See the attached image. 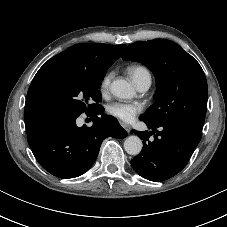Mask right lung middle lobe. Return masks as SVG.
Returning a JSON list of instances; mask_svg holds the SVG:
<instances>
[{
  "label": "right lung middle lobe",
  "instance_id": "obj_1",
  "mask_svg": "<svg viewBox=\"0 0 227 227\" xmlns=\"http://www.w3.org/2000/svg\"><path fill=\"white\" fill-rule=\"evenodd\" d=\"M106 70L57 67L50 70L40 86L41 101L50 117L74 116L89 112L101 101L98 88Z\"/></svg>",
  "mask_w": 227,
  "mask_h": 227
}]
</instances>
